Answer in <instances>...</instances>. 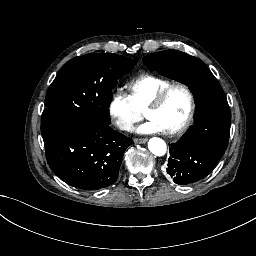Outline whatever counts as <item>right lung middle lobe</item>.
<instances>
[{"label":"right lung middle lobe","instance_id":"1","mask_svg":"<svg viewBox=\"0 0 256 256\" xmlns=\"http://www.w3.org/2000/svg\"><path fill=\"white\" fill-rule=\"evenodd\" d=\"M136 61L118 54L79 56L68 61L47 90L42 136L63 130L77 133L88 126H108L109 106L117 79Z\"/></svg>","mask_w":256,"mask_h":256}]
</instances>
